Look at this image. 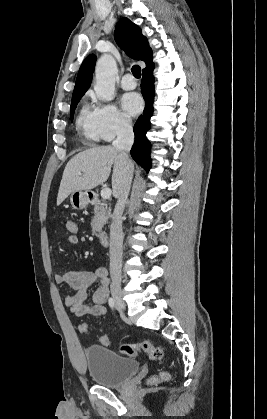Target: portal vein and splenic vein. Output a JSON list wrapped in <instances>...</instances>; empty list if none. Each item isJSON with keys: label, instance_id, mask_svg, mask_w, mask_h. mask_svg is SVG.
<instances>
[{"label": "portal vein and splenic vein", "instance_id": "18ae733b", "mask_svg": "<svg viewBox=\"0 0 267 419\" xmlns=\"http://www.w3.org/2000/svg\"><path fill=\"white\" fill-rule=\"evenodd\" d=\"M111 189L110 188H104L101 190V197L103 199H109L111 197Z\"/></svg>", "mask_w": 267, "mask_h": 419}]
</instances>
